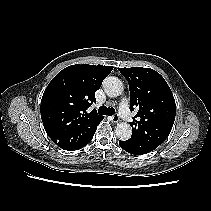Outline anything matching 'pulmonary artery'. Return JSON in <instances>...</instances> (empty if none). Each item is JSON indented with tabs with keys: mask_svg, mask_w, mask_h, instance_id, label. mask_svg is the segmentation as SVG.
Wrapping results in <instances>:
<instances>
[{
	"mask_svg": "<svg viewBox=\"0 0 211 211\" xmlns=\"http://www.w3.org/2000/svg\"><path fill=\"white\" fill-rule=\"evenodd\" d=\"M119 114L126 121H132V114L130 113L128 102L123 100L119 105Z\"/></svg>",
	"mask_w": 211,
	"mask_h": 211,
	"instance_id": "1",
	"label": "pulmonary artery"
}]
</instances>
